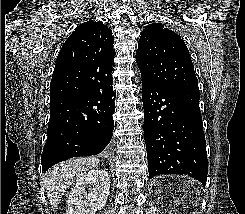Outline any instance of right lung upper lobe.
I'll use <instances>...</instances> for the list:
<instances>
[{"instance_id":"right-lung-upper-lobe-1","label":"right lung upper lobe","mask_w":245,"mask_h":214,"mask_svg":"<svg viewBox=\"0 0 245 214\" xmlns=\"http://www.w3.org/2000/svg\"><path fill=\"white\" fill-rule=\"evenodd\" d=\"M114 37L101 21L79 25L56 59L50 93L75 95L88 87L94 72L114 66Z\"/></svg>"}]
</instances>
